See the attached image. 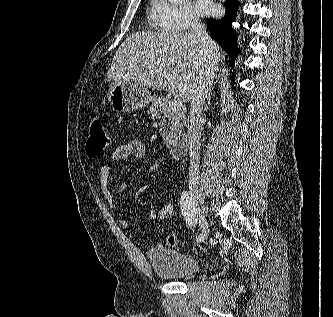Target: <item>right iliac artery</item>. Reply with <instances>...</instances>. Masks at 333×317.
Listing matches in <instances>:
<instances>
[{
	"mask_svg": "<svg viewBox=\"0 0 333 317\" xmlns=\"http://www.w3.org/2000/svg\"><path fill=\"white\" fill-rule=\"evenodd\" d=\"M181 213L189 225L197 224L196 212L192 199L187 191L182 192L180 200ZM204 239L201 235H198L197 241L202 242Z\"/></svg>",
	"mask_w": 333,
	"mask_h": 317,
	"instance_id": "1",
	"label": "right iliac artery"
}]
</instances>
